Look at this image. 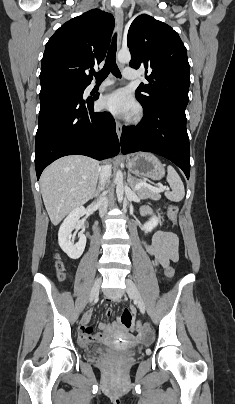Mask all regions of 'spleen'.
I'll return each instance as SVG.
<instances>
[{
    "mask_svg": "<svg viewBox=\"0 0 235 404\" xmlns=\"http://www.w3.org/2000/svg\"><path fill=\"white\" fill-rule=\"evenodd\" d=\"M167 182L169 183L172 191L166 192L165 196L167 199L173 202L181 201L185 196V189L181 178L172 166L167 168Z\"/></svg>",
    "mask_w": 235,
    "mask_h": 404,
    "instance_id": "3e777b00",
    "label": "spleen"
}]
</instances>
